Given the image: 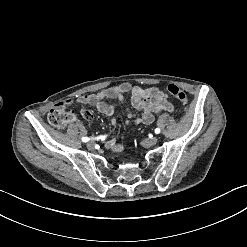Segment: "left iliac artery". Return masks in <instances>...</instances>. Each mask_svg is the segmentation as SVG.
I'll list each match as a JSON object with an SVG mask.
<instances>
[{"label": "left iliac artery", "mask_w": 247, "mask_h": 247, "mask_svg": "<svg viewBox=\"0 0 247 247\" xmlns=\"http://www.w3.org/2000/svg\"><path fill=\"white\" fill-rule=\"evenodd\" d=\"M155 133H156V134H159V133H160V128H156V129H155Z\"/></svg>", "instance_id": "1"}]
</instances>
